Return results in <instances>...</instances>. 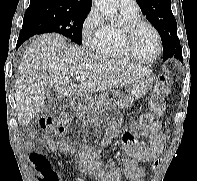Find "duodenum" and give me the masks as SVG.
<instances>
[{
    "label": "duodenum",
    "mask_w": 197,
    "mask_h": 181,
    "mask_svg": "<svg viewBox=\"0 0 197 181\" xmlns=\"http://www.w3.org/2000/svg\"><path fill=\"white\" fill-rule=\"evenodd\" d=\"M83 107H84V104H83L82 101H80V100H75V101L73 102V110H74L75 112H80V111L83 109Z\"/></svg>",
    "instance_id": "410a0bca"
}]
</instances>
